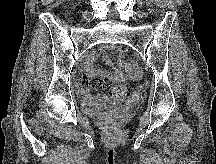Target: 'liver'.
<instances>
[{
  "instance_id": "obj_1",
  "label": "liver",
  "mask_w": 216,
  "mask_h": 164,
  "mask_svg": "<svg viewBox=\"0 0 216 164\" xmlns=\"http://www.w3.org/2000/svg\"><path fill=\"white\" fill-rule=\"evenodd\" d=\"M53 1H54V0H41L42 4H43L44 6H47V5L51 4Z\"/></svg>"
}]
</instances>
